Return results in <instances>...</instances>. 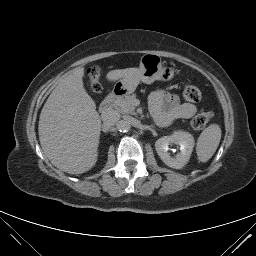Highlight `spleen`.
I'll use <instances>...</instances> for the list:
<instances>
[{
    "label": "spleen",
    "instance_id": "3e777b00",
    "mask_svg": "<svg viewBox=\"0 0 256 256\" xmlns=\"http://www.w3.org/2000/svg\"><path fill=\"white\" fill-rule=\"evenodd\" d=\"M221 140V128L211 124L205 128L197 140L196 152L199 161L207 162L217 150Z\"/></svg>",
    "mask_w": 256,
    "mask_h": 256
}]
</instances>
